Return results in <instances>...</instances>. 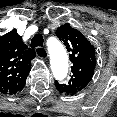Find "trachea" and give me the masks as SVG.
<instances>
[{"label": "trachea", "instance_id": "obj_1", "mask_svg": "<svg viewBox=\"0 0 117 117\" xmlns=\"http://www.w3.org/2000/svg\"><path fill=\"white\" fill-rule=\"evenodd\" d=\"M43 36L41 34H36L34 37L31 39V47L36 48V47H42L43 46ZM40 51V49H37Z\"/></svg>", "mask_w": 117, "mask_h": 117}]
</instances>
